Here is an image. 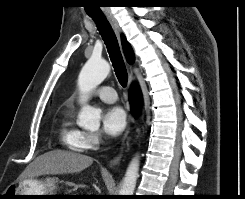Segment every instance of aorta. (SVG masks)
<instances>
[{
  "mask_svg": "<svg viewBox=\"0 0 245 199\" xmlns=\"http://www.w3.org/2000/svg\"><path fill=\"white\" fill-rule=\"evenodd\" d=\"M110 73V65L103 59L90 58L83 66L79 77L78 86L82 93H88L101 84ZM78 125L86 129H98L100 126V111L89 105L82 107L78 115ZM139 171V157L136 156L130 162L120 195H133Z\"/></svg>",
  "mask_w": 245,
  "mask_h": 199,
  "instance_id": "1",
  "label": "aorta"
}]
</instances>
